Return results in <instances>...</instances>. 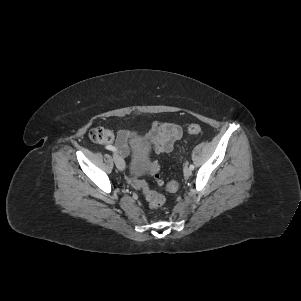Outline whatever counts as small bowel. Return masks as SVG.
I'll return each mask as SVG.
<instances>
[{
  "label": "small bowel",
  "instance_id": "1",
  "mask_svg": "<svg viewBox=\"0 0 301 301\" xmlns=\"http://www.w3.org/2000/svg\"><path fill=\"white\" fill-rule=\"evenodd\" d=\"M182 134L183 127L181 125L172 122H155L148 131L146 137L157 153H170L176 142L181 139ZM136 137V132H130L127 130L119 131L115 148L123 156H127L130 151L129 141Z\"/></svg>",
  "mask_w": 301,
  "mask_h": 301
}]
</instances>
